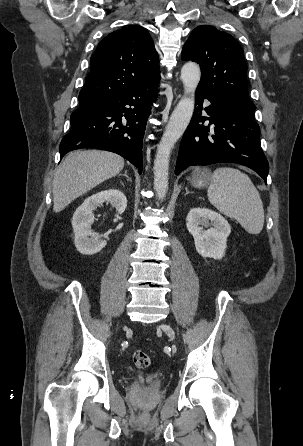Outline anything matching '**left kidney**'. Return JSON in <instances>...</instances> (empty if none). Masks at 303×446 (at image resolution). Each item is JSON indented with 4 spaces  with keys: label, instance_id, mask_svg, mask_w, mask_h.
<instances>
[{
    "label": "left kidney",
    "instance_id": "left-kidney-1",
    "mask_svg": "<svg viewBox=\"0 0 303 446\" xmlns=\"http://www.w3.org/2000/svg\"><path fill=\"white\" fill-rule=\"evenodd\" d=\"M210 221L213 223L212 228H208ZM186 225L194 238L198 254L213 259H221L225 255L231 227L222 215L207 208H193L187 215Z\"/></svg>",
    "mask_w": 303,
    "mask_h": 446
}]
</instances>
